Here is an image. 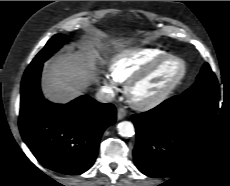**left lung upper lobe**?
<instances>
[{
	"instance_id": "obj_1",
	"label": "left lung upper lobe",
	"mask_w": 230,
	"mask_h": 186,
	"mask_svg": "<svg viewBox=\"0 0 230 186\" xmlns=\"http://www.w3.org/2000/svg\"><path fill=\"white\" fill-rule=\"evenodd\" d=\"M218 82L208 63H205L198 75L196 82L185 92H193L201 89H217Z\"/></svg>"
}]
</instances>
